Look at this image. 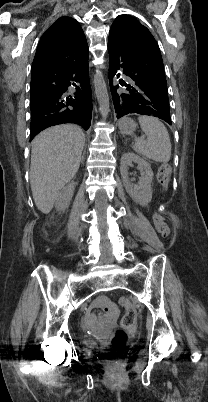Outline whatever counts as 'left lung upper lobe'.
<instances>
[{
  "mask_svg": "<svg viewBox=\"0 0 208 402\" xmlns=\"http://www.w3.org/2000/svg\"><path fill=\"white\" fill-rule=\"evenodd\" d=\"M110 32L133 47V72L168 93L160 49L150 31L135 18L120 15L113 22Z\"/></svg>",
  "mask_w": 208,
  "mask_h": 402,
  "instance_id": "obj_1",
  "label": "left lung upper lobe"
}]
</instances>
